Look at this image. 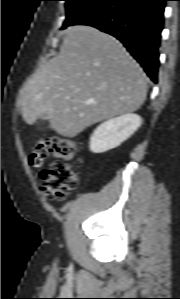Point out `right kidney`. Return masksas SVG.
<instances>
[{"label":"right kidney","instance_id":"right-kidney-1","mask_svg":"<svg viewBox=\"0 0 180 299\" xmlns=\"http://www.w3.org/2000/svg\"><path fill=\"white\" fill-rule=\"evenodd\" d=\"M141 123V117L131 113L103 122L91 135L90 151L103 153L118 147L140 127Z\"/></svg>","mask_w":180,"mask_h":299}]
</instances>
